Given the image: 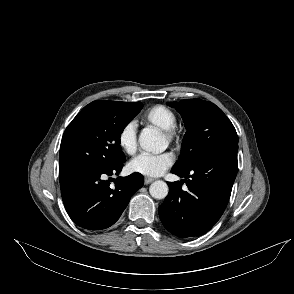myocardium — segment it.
Instances as JSON below:
<instances>
[{
  "label": "myocardium",
  "mask_w": 294,
  "mask_h": 294,
  "mask_svg": "<svg viewBox=\"0 0 294 294\" xmlns=\"http://www.w3.org/2000/svg\"><path fill=\"white\" fill-rule=\"evenodd\" d=\"M162 135L169 144H177L180 140V133L176 126L162 130Z\"/></svg>",
  "instance_id": "f54148a6"
}]
</instances>
